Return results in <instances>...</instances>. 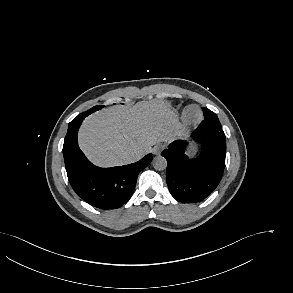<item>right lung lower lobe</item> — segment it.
I'll use <instances>...</instances> for the list:
<instances>
[{"mask_svg": "<svg viewBox=\"0 0 293 293\" xmlns=\"http://www.w3.org/2000/svg\"><path fill=\"white\" fill-rule=\"evenodd\" d=\"M84 112L69 123L63 145L68 180L76 194L85 202L100 209H116L132 196L137 176L149 165L152 154L140 161L112 168L93 165L77 144V130L85 117Z\"/></svg>", "mask_w": 293, "mask_h": 293, "instance_id": "obj_1", "label": "right lung lower lobe"}]
</instances>
